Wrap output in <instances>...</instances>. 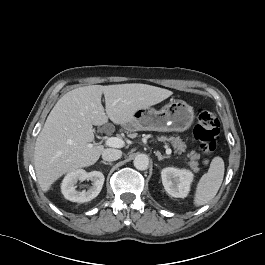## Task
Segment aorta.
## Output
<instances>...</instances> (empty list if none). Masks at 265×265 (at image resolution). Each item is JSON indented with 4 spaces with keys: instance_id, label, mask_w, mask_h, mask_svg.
I'll list each match as a JSON object with an SVG mask.
<instances>
[{
    "instance_id": "obj_1",
    "label": "aorta",
    "mask_w": 265,
    "mask_h": 265,
    "mask_svg": "<svg viewBox=\"0 0 265 265\" xmlns=\"http://www.w3.org/2000/svg\"><path fill=\"white\" fill-rule=\"evenodd\" d=\"M133 163L136 169L143 171L148 169L149 158L146 154H138Z\"/></svg>"
}]
</instances>
